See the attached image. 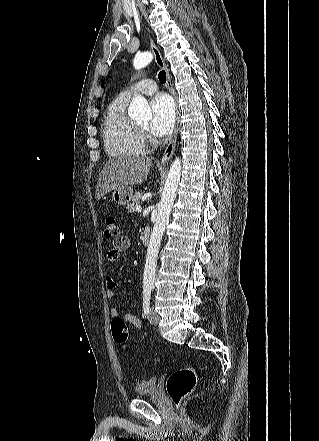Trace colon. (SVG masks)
<instances>
[{
    "instance_id": "1",
    "label": "colon",
    "mask_w": 319,
    "mask_h": 441,
    "mask_svg": "<svg viewBox=\"0 0 319 441\" xmlns=\"http://www.w3.org/2000/svg\"><path fill=\"white\" fill-rule=\"evenodd\" d=\"M120 233L117 220L113 216L106 218L103 235L105 238L118 237ZM111 333L113 340L119 345H125L128 340V329L123 318L115 317L111 322ZM197 383V371L194 367L188 366L178 369L168 377L166 382L167 392L177 407L193 392Z\"/></svg>"
}]
</instances>
